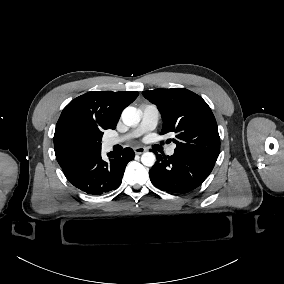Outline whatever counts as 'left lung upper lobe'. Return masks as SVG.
<instances>
[{"label":"left lung upper lobe","mask_w":284,"mask_h":284,"mask_svg":"<svg viewBox=\"0 0 284 284\" xmlns=\"http://www.w3.org/2000/svg\"><path fill=\"white\" fill-rule=\"evenodd\" d=\"M142 94L157 105L161 113V134H176L175 151L216 162L220 152L217 123L210 107L199 95L185 88L155 89Z\"/></svg>","instance_id":"obj_1"}]
</instances>
